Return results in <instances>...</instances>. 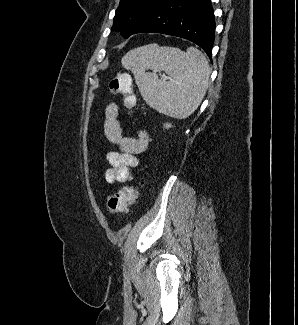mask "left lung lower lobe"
Masks as SVG:
<instances>
[{
	"label": "left lung lower lobe",
	"mask_w": 298,
	"mask_h": 325,
	"mask_svg": "<svg viewBox=\"0 0 298 325\" xmlns=\"http://www.w3.org/2000/svg\"><path fill=\"white\" fill-rule=\"evenodd\" d=\"M215 20L211 0H164L133 32L162 33L190 40L211 59Z\"/></svg>",
	"instance_id": "0a47b994"
}]
</instances>
